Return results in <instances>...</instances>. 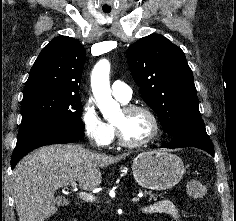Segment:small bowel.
Returning <instances> with one entry per match:
<instances>
[{
	"label": "small bowel",
	"instance_id": "c3829d8e",
	"mask_svg": "<svg viewBox=\"0 0 236 221\" xmlns=\"http://www.w3.org/2000/svg\"><path fill=\"white\" fill-rule=\"evenodd\" d=\"M144 214H164L172 218L173 221H179L180 215L178 209L169 200H160L150 205L144 206L142 209Z\"/></svg>",
	"mask_w": 236,
	"mask_h": 221
}]
</instances>
